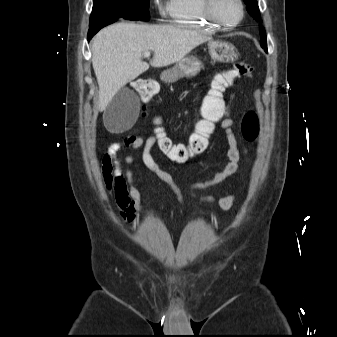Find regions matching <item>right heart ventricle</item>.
<instances>
[{"label":"right heart ventricle","mask_w":337,"mask_h":337,"mask_svg":"<svg viewBox=\"0 0 337 337\" xmlns=\"http://www.w3.org/2000/svg\"><path fill=\"white\" fill-rule=\"evenodd\" d=\"M165 13L170 22L189 29L213 33L218 27L205 16L202 0H167Z\"/></svg>","instance_id":"e07e8e85"}]
</instances>
